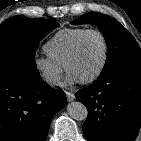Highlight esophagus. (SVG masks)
I'll return each mask as SVG.
<instances>
[{
  "instance_id": "esophagus-1",
  "label": "esophagus",
  "mask_w": 141,
  "mask_h": 141,
  "mask_svg": "<svg viewBox=\"0 0 141 141\" xmlns=\"http://www.w3.org/2000/svg\"><path fill=\"white\" fill-rule=\"evenodd\" d=\"M66 97H67V100L69 102H71V101H73L75 99V95L72 92H66Z\"/></svg>"
}]
</instances>
